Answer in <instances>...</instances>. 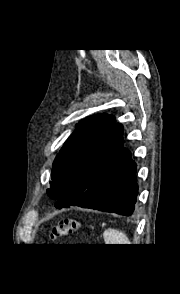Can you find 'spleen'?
Returning <instances> with one entry per match:
<instances>
[{
  "instance_id": "obj_1",
  "label": "spleen",
  "mask_w": 180,
  "mask_h": 294,
  "mask_svg": "<svg viewBox=\"0 0 180 294\" xmlns=\"http://www.w3.org/2000/svg\"><path fill=\"white\" fill-rule=\"evenodd\" d=\"M106 244H130L128 237L115 229H107L103 233Z\"/></svg>"
}]
</instances>
